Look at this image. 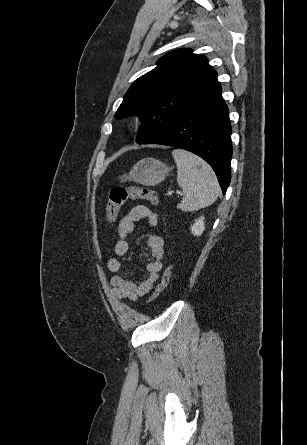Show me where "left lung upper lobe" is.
Returning <instances> with one entry per match:
<instances>
[{"mask_svg": "<svg viewBox=\"0 0 307 445\" xmlns=\"http://www.w3.org/2000/svg\"><path fill=\"white\" fill-rule=\"evenodd\" d=\"M218 87L217 73L205 56L190 49L175 50L131 85L115 117H140L137 143L141 144Z\"/></svg>", "mask_w": 307, "mask_h": 445, "instance_id": "1", "label": "left lung upper lobe"}]
</instances>
